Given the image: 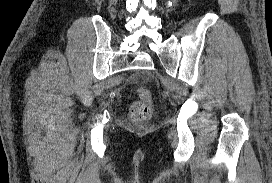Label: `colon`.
<instances>
[{"mask_svg":"<svg viewBox=\"0 0 272 183\" xmlns=\"http://www.w3.org/2000/svg\"><path fill=\"white\" fill-rule=\"evenodd\" d=\"M141 100L132 106V115L136 119H146L151 115V94L144 87L139 89Z\"/></svg>","mask_w":272,"mask_h":183,"instance_id":"colon-1","label":"colon"}]
</instances>
